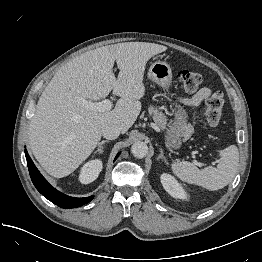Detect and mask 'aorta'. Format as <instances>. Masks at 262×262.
I'll list each match as a JSON object with an SVG mask.
<instances>
[{"label": "aorta", "mask_w": 262, "mask_h": 262, "mask_svg": "<svg viewBox=\"0 0 262 262\" xmlns=\"http://www.w3.org/2000/svg\"><path fill=\"white\" fill-rule=\"evenodd\" d=\"M131 152L136 158H144L148 154V146L144 142H135L131 147Z\"/></svg>", "instance_id": "1"}]
</instances>
